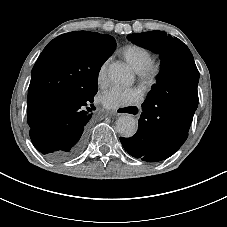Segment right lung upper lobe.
I'll return each mask as SVG.
<instances>
[{
    "mask_svg": "<svg viewBox=\"0 0 227 227\" xmlns=\"http://www.w3.org/2000/svg\"><path fill=\"white\" fill-rule=\"evenodd\" d=\"M112 36L89 31L62 34L53 39L36 61L28 89L27 116L30 128H41L62 99L82 95L86 76L83 67L68 55L71 43L96 45Z\"/></svg>",
    "mask_w": 227,
    "mask_h": 227,
    "instance_id": "1",
    "label": "right lung upper lobe"
}]
</instances>
